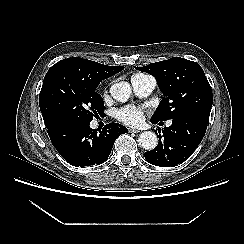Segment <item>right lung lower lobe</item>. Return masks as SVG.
Here are the masks:
<instances>
[{"instance_id":"98d812e1","label":"right lung lower lobe","mask_w":244,"mask_h":244,"mask_svg":"<svg viewBox=\"0 0 244 244\" xmlns=\"http://www.w3.org/2000/svg\"><path fill=\"white\" fill-rule=\"evenodd\" d=\"M53 146L60 155L74 166H90L103 163L111 153L118 136L127 128L110 123L98 131L90 128V122L69 121L47 128Z\"/></svg>"}]
</instances>
